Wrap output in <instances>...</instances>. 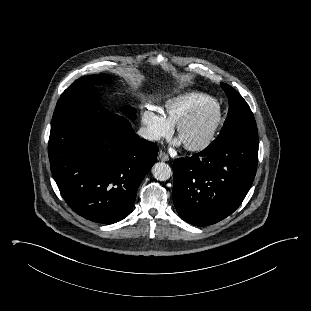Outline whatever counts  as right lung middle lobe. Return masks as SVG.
<instances>
[{"instance_id":"1","label":"right lung middle lobe","mask_w":311,"mask_h":311,"mask_svg":"<svg viewBox=\"0 0 311 311\" xmlns=\"http://www.w3.org/2000/svg\"><path fill=\"white\" fill-rule=\"evenodd\" d=\"M110 80L107 74L92 75L78 79L67 88L60 96L57 102L52 126L59 123L74 119L80 116H98L107 115L108 113H100L94 95L88 89V84H104ZM126 116L134 120L136 118L135 108H130L125 112Z\"/></svg>"}]
</instances>
